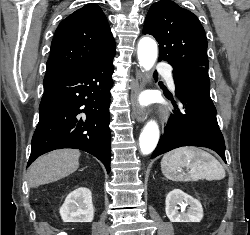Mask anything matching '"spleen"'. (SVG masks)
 Masks as SVG:
<instances>
[{"label": "spleen", "instance_id": "1", "mask_svg": "<svg viewBox=\"0 0 250 235\" xmlns=\"http://www.w3.org/2000/svg\"><path fill=\"white\" fill-rule=\"evenodd\" d=\"M182 168L190 169L181 173ZM164 176L172 181L221 180L225 169L208 152L195 147H181L165 154L161 160Z\"/></svg>", "mask_w": 250, "mask_h": 235}]
</instances>
